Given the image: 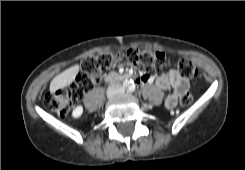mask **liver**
Masks as SVG:
<instances>
[{
  "label": "liver",
  "mask_w": 245,
  "mask_h": 170,
  "mask_svg": "<svg viewBox=\"0 0 245 170\" xmlns=\"http://www.w3.org/2000/svg\"><path fill=\"white\" fill-rule=\"evenodd\" d=\"M79 72V65H74L53 78L50 83V92L54 93L59 89L70 85Z\"/></svg>",
  "instance_id": "6515ba94"
}]
</instances>
